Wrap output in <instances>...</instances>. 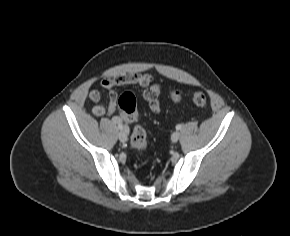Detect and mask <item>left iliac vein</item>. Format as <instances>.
Instances as JSON below:
<instances>
[{"label": "left iliac vein", "mask_w": 290, "mask_h": 236, "mask_svg": "<svg viewBox=\"0 0 290 236\" xmlns=\"http://www.w3.org/2000/svg\"><path fill=\"white\" fill-rule=\"evenodd\" d=\"M180 138V133L178 131H175L172 135H171V140L172 142H177Z\"/></svg>", "instance_id": "4c4485c4"}]
</instances>
